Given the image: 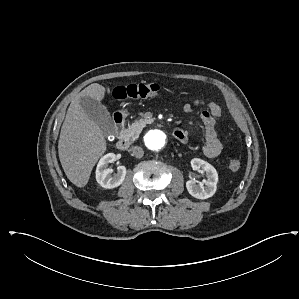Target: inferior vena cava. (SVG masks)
Instances as JSON below:
<instances>
[{
  "label": "inferior vena cava",
  "instance_id": "obj_1",
  "mask_svg": "<svg viewBox=\"0 0 299 299\" xmlns=\"http://www.w3.org/2000/svg\"><path fill=\"white\" fill-rule=\"evenodd\" d=\"M129 151L132 152L133 156L136 158H142L144 155L143 149L139 146H132Z\"/></svg>",
  "mask_w": 299,
  "mask_h": 299
}]
</instances>
